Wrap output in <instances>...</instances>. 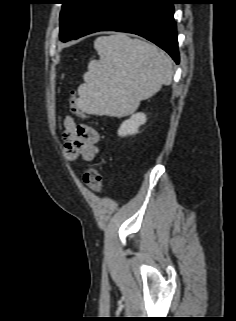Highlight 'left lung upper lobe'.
Instances as JSON below:
<instances>
[{
	"label": "left lung upper lobe",
	"mask_w": 236,
	"mask_h": 321,
	"mask_svg": "<svg viewBox=\"0 0 236 321\" xmlns=\"http://www.w3.org/2000/svg\"><path fill=\"white\" fill-rule=\"evenodd\" d=\"M101 0H63L60 13V40L69 41L76 36Z\"/></svg>",
	"instance_id": "1"
}]
</instances>
